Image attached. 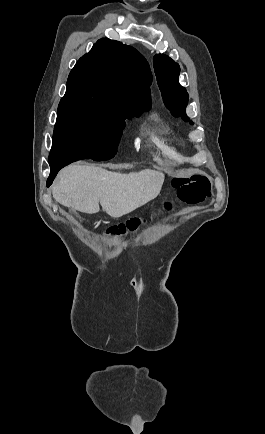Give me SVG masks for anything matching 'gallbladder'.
Listing matches in <instances>:
<instances>
[{
    "label": "gallbladder",
    "instance_id": "obj_1",
    "mask_svg": "<svg viewBox=\"0 0 265 434\" xmlns=\"http://www.w3.org/2000/svg\"><path fill=\"white\" fill-rule=\"evenodd\" d=\"M80 220H83V217H80Z\"/></svg>",
    "mask_w": 265,
    "mask_h": 434
}]
</instances>
